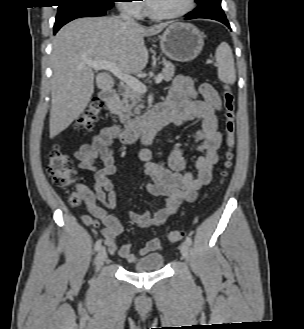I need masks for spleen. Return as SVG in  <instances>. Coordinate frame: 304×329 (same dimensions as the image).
Returning a JSON list of instances; mask_svg holds the SVG:
<instances>
[{"mask_svg": "<svg viewBox=\"0 0 304 329\" xmlns=\"http://www.w3.org/2000/svg\"><path fill=\"white\" fill-rule=\"evenodd\" d=\"M215 59L218 64V77L227 84H234L236 81V71L234 58L230 46L223 42L216 49Z\"/></svg>", "mask_w": 304, "mask_h": 329, "instance_id": "obj_1", "label": "spleen"}]
</instances>
